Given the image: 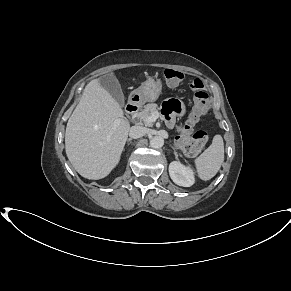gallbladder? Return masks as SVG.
<instances>
[{
  "instance_id": "1",
  "label": "gallbladder",
  "mask_w": 291,
  "mask_h": 291,
  "mask_svg": "<svg viewBox=\"0 0 291 291\" xmlns=\"http://www.w3.org/2000/svg\"><path fill=\"white\" fill-rule=\"evenodd\" d=\"M100 85L108 91L120 106H124V95L117 78L112 74H105L99 78Z\"/></svg>"
}]
</instances>
